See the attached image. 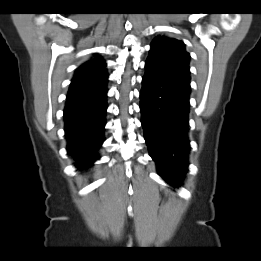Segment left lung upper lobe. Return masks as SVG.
Returning <instances> with one entry per match:
<instances>
[{"label":"left lung upper lobe","instance_id":"5c2ea615","mask_svg":"<svg viewBox=\"0 0 261 261\" xmlns=\"http://www.w3.org/2000/svg\"><path fill=\"white\" fill-rule=\"evenodd\" d=\"M148 62L190 77V54L185 51L184 44L174 38L156 37L151 43Z\"/></svg>","mask_w":261,"mask_h":261}]
</instances>
